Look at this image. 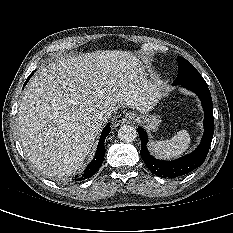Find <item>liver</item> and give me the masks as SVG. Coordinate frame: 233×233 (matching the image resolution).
Here are the masks:
<instances>
[{
  "mask_svg": "<svg viewBox=\"0 0 233 233\" xmlns=\"http://www.w3.org/2000/svg\"><path fill=\"white\" fill-rule=\"evenodd\" d=\"M161 88L128 51L98 50L49 63L22 94L18 127L24 152L48 177L71 175L102 127L97 114L110 118L118 105L149 112L163 96Z\"/></svg>",
  "mask_w": 233,
  "mask_h": 233,
  "instance_id": "liver-1",
  "label": "liver"
}]
</instances>
